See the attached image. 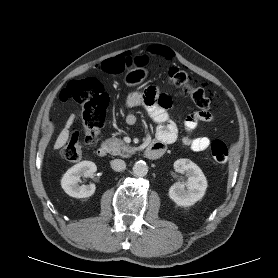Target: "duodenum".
<instances>
[{
    "label": "duodenum",
    "mask_w": 278,
    "mask_h": 278,
    "mask_svg": "<svg viewBox=\"0 0 278 278\" xmlns=\"http://www.w3.org/2000/svg\"><path fill=\"white\" fill-rule=\"evenodd\" d=\"M165 152V146L158 142L150 143L144 150V154L148 159L156 160L162 157ZM96 154L104 158L109 154V148L107 145H101L97 148Z\"/></svg>",
    "instance_id": "duodenum-1"
}]
</instances>
